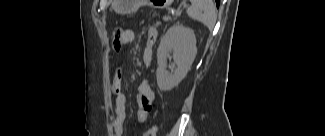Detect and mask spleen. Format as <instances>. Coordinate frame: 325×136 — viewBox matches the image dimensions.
I'll use <instances>...</instances> for the list:
<instances>
[{
	"instance_id": "spleen-1",
	"label": "spleen",
	"mask_w": 325,
	"mask_h": 136,
	"mask_svg": "<svg viewBox=\"0 0 325 136\" xmlns=\"http://www.w3.org/2000/svg\"><path fill=\"white\" fill-rule=\"evenodd\" d=\"M187 14L192 19L203 23L209 30L214 28L216 11L212 0H192V5L187 8Z\"/></svg>"
}]
</instances>
